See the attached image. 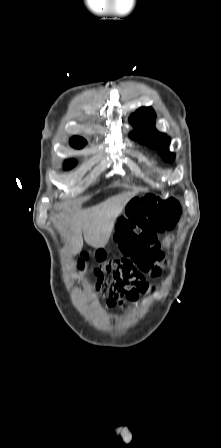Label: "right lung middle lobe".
<instances>
[{
	"label": "right lung middle lobe",
	"instance_id": "obj_1",
	"mask_svg": "<svg viewBox=\"0 0 221 448\" xmlns=\"http://www.w3.org/2000/svg\"><path fill=\"white\" fill-rule=\"evenodd\" d=\"M75 164H76V161H74V160H70V161H67V162L65 163V167H66L67 169H69V168L73 167Z\"/></svg>",
	"mask_w": 221,
	"mask_h": 448
}]
</instances>
